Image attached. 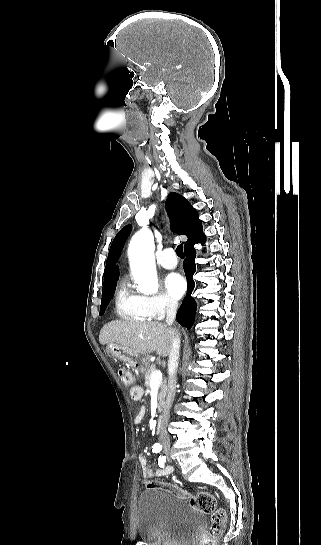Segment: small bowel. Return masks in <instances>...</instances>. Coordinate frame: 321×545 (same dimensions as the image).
Returning a JSON list of instances; mask_svg holds the SVG:
<instances>
[{"label":"small bowel","mask_w":321,"mask_h":545,"mask_svg":"<svg viewBox=\"0 0 321 545\" xmlns=\"http://www.w3.org/2000/svg\"><path fill=\"white\" fill-rule=\"evenodd\" d=\"M143 396V391L140 387H133L131 389V397L134 401H140ZM146 414V408L144 406H141L134 418L135 424H140L142 420L144 419ZM139 463L142 468L143 476L146 479H156L159 477L167 476L172 472V467L166 466L161 467L159 469H152L148 463V459L144 453H141L139 455Z\"/></svg>","instance_id":"1"}]
</instances>
